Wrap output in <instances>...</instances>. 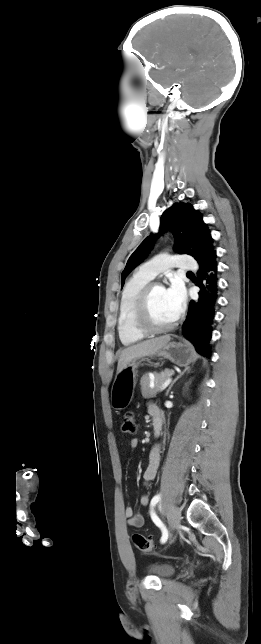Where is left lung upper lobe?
<instances>
[{
    "label": "left lung upper lobe",
    "instance_id": "obj_1",
    "mask_svg": "<svg viewBox=\"0 0 261 644\" xmlns=\"http://www.w3.org/2000/svg\"><path fill=\"white\" fill-rule=\"evenodd\" d=\"M168 230L174 235L175 251L193 256L199 264L216 252L202 215L191 204L175 203L163 213L159 233ZM153 245L154 235H151L130 256L122 273V286L125 277L147 256Z\"/></svg>",
    "mask_w": 261,
    "mask_h": 644
}]
</instances>
